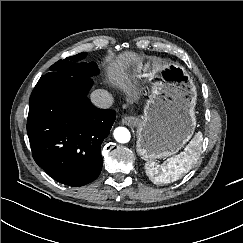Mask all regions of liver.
Masks as SVG:
<instances>
[{
	"instance_id": "liver-1",
	"label": "liver",
	"mask_w": 243,
	"mask_h": 243,
	"mask_svg": "<svg viewBox=\"0 0 243 243\" xmlns=\"http://www.w3.org/2000/svg\"><path fill=\"white\" fill-rule=\"evenodd\" d=\"M137 59L138 58L135 53L124 52L110 64L107 73L109 81L118 84L119 87L128 94L129 102H133L136 99V91L134 90V86L123 78L121 71L126 64Z\"/></svg>"
}]
</instances>
